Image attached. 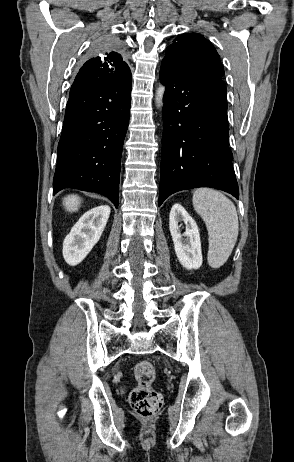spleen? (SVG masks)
Wrapping results in <instances>:
<instances>
[{
	"mask_svg": "<svg viewBox=\"0 0 294 462\" xmlns=\"http://www.w3.org/2000/svg\"><path fill=\"white\" fill-rule=\"evenodd\" d=\"M193 206L208 230V263L218 268L227 261L237 241L239 223L236 208L221 192L208 188H200L193 193Z\"/></svg>",
	"mask_w": 294,
	"mask_h": 462,
	"instance_id": "1",
	"label": "spleen"
}]
</instances>
